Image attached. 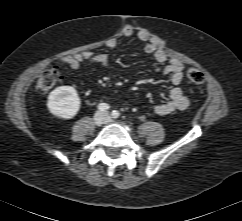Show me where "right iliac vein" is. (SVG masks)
<instances>
[{
	"mask_svg": "<svg viewBox=\"0 0 242 221\" xmlns=\"http://www.w3.org/2000/svg\"><path fill=\"white\" fill-rule=\"evenodd\" d=\"M104 114L102 112H97L95 115H94V123L95 125L97 126H101L104 122Z\"/></svg>",
	"mask_w": 242,
	"mask_h": 221,
	"instance_id": "obj_1",
	"label": "right iliac vein"
}]
</instances>
